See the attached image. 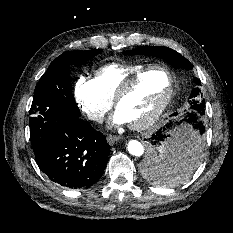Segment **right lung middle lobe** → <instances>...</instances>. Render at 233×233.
<instances>
[{
    "label": "right lung middle lobe",
    "instance_id": "1",
    "mask_svg": "<svg viewBox=\"0 0 233 233\" xmlns=\"http://www.w3.org/2000/svg\"><path fill=\"white\" fill-rule=\"evenodd\" d=\"M101 51L102 49H94L61 54L52 61L36 86L29 120L36 160L50 140L56 122L65 117H79L80 111L72 97L69 65L83 64Z\"/></svg>",
    "mask_w": 233,
    "mask_h": 233
}]
</instances>
